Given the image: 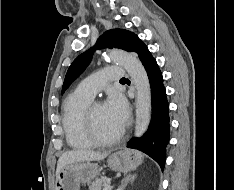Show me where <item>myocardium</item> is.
<instances>
[{"label": "myocardium", "mask_w": 234, "mask_h": 190, "mask_svg": "<svg viewBox=\"0 0 234 190\" xmlns=\"http://www.w3.org/2000/svg\"><path fill=\"white\" fill-rule=\"evenodd\" d=\"M101 101H94L91 102L88 107L85 110L84 118H85V124L87 132L90 136V138L93 140V142L97 145H111L116 143L125 132L124 128H121L116 134L110 136V137H104L101 136L96 128L93 112L96 106L101 105Z\"/></svg>", "instance_id": "1"}]
</instances>
